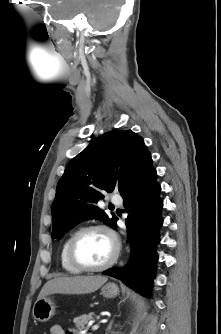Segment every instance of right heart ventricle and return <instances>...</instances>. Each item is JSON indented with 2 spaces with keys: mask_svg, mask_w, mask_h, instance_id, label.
I'll use <instances>...</instances> for the list:
<instances>
[{
  "mask_svg": "<svg viewBox=\"0 0 221 334\" xmlns=\"http://www.w3.org/2000/svg\"><path fill=\"white\" fill-rule=\"evenodd\" d=\"M74 233L70 234L63 242L60 251V263L62 268L70 274H79L82 271L73 266L68 259V245Z\"/></svg>",
  "mask_w": 221,
  "mask_h": 334,
  "instance_id": "obj_1",
  "label": "right heart ventricle"
}]
</instances>
